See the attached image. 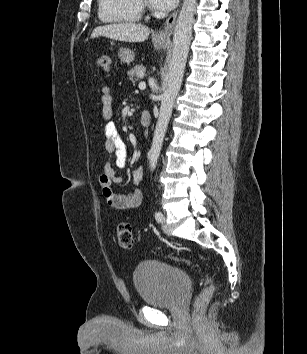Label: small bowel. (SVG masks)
<instances>
[{
  "instance_id": "1",
  "label": "small bowel",
  "mask_w": 307,
  "mask_h": 354,
  "mask_svg": "<svg viewBox=\"0 0 307 354\" xmlns=\"http://www.w3.org/2000/svg\"><path fill=\"white\" fill-rule=\"evenodd\" d=\"M102 103V118L105 121L104 125V147L109 155L114 159V164L117 168L126 166L128 152L127 146L122 139L117 125L111 120L112 116V95L111 90L107 85L101 89ZM143 168L138 167L133 171V181L135 184H140L143 178ZM122 182V176L116 172L108 162L104 166V171L99 177V183L105 201L113 208L119 210L134 209L142 205L143 194L141 190L134 189L126 194L114 192L112 185Z\"/></svg>"
}]
</instances>
